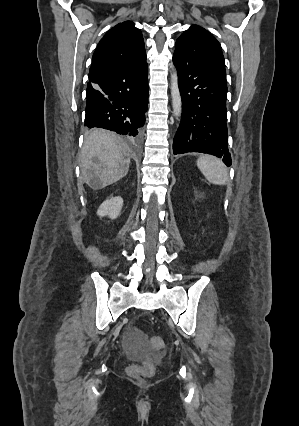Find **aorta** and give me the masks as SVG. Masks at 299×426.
I'll use <instances>...</instances> for the list:
<instances>
[{
	"label": "aorta",
	"mask_w": 299,
	"mask_h": 426,
	"mask_svg": "<svg viewBox=\"0 0 299 426\" xmlns=\"http://www.w3.org/2000/svg\"><path fill=\"white\" fill-rule=\"evenodd\" d=\"M171 97H172V107L173 114L175 117H180L182 113V99L180 95V90L178 86V75L177 71L174 70L171 74Z\"/></svg>",
	"instance_id": "aorta-1"
}]
</instances>
